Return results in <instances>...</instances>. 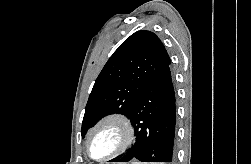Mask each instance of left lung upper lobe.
Masks as SVG:
<instances>
[{
	"label": "left lung upper lobe",
	"mask_w": 251,
	"mask_h": 164,
	"mask_svg": "<svg viewBox=\"0 0 251 164\" xmlns=\"http://www.w3.org/2000/svg\"><path fill=\"white\" fill-rule=\"evenodd\" d=\"M171 63L156 34L137 31L112 54L89 96L81 135L99 118L120 113L129 118L145 86Z\"/></svg>",
	"instance_id": "left-lung-upper-lobe-1"
}]
</instances>
